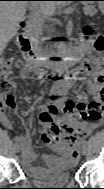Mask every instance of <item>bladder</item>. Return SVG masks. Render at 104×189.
Masks as SVG:
<instances>
[{
    "mask_svg": "<svg viewBox=\"0 0 104 189\" xmlns=\"http://www.w3.org/2000/svg\"><path fill=\"white\" fill-rule=\"evenodd\" d=\"M28 179L39 185H66L71 181L70 167L55 164L43 166L37 172L24 170Z\"/></svg>",
    "mask_w": 104,
    "mask_h": 189,
    "instance_id": "bladder-1",
    "label": "bladder"
}]
</instances>
